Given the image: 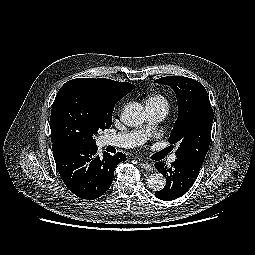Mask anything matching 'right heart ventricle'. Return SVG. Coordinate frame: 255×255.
I'll list each match as a JSON object with an SVG mask.
<instances>
[{
	"instance_id": "e07e8e85",
	"label": "right heart ventricle",
	"mask_w": 255,
	"mask_h": 255,
	"mask_svg": "<svg viewBox=\"0 0 255 255\" xmlns=\"http://www.w3.org/2000/svg\"><path fill=\"white\" fill-rule=\"evenodd\" d=\"M145 104L146 106H161L168 108V101L166 97L161 94H152L148 96Z\"/></svg>"
}]
</instances>
